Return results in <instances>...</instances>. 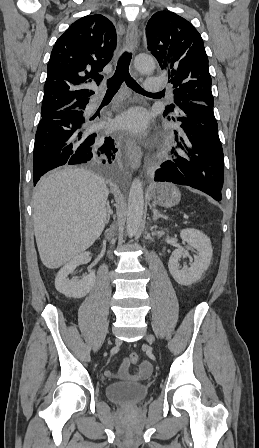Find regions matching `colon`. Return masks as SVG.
I'll use <instances>...</instances> for the list:
<instances>
[{
  "label": "colon",
  "mask_w": 259,
  "mask_h": 448,
  "mask_svg": "<svg viewBox=\"0 0 259 448\" xmlns=\"http://www.w3.org/2000/svg\"><path fill=\"white\" fill-rule=\"evenodd\" d=\"M128 360H129L130 363L135 364V363H137L139 361V355L137 353H131L128 356Z\"/></svg>",
  "instance_id": "5ec220e1"
}]
</instances>
